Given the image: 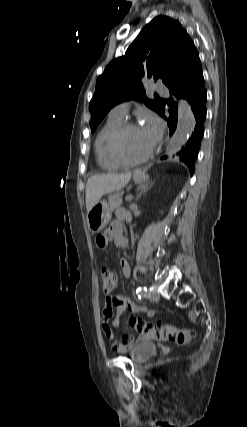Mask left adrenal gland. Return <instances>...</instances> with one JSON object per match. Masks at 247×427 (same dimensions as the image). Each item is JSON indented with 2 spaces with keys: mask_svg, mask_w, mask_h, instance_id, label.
I'll return each instance as SVG.
<instances>
[{
  "mask_svg": "<svg viewBox=\"0 0 247 427\" xmlns=\"http://www.w3.org/2000/svg\"><path fill=\"white\" fill-rule=\"evenodd\" d=\"M152 185H153V183H151L149 186H148V185H146V186L141 190V192L138 194V196H137V198H136V201H138V200L141 198L142 194H144V193H146L148 190H150V188L152 187Z\"/></svg>",
  "mask_w": 247,
  "mask_h": 427,
  "instance_id": "1",
  "label": "left adrenal gland"
}]
</instances>
